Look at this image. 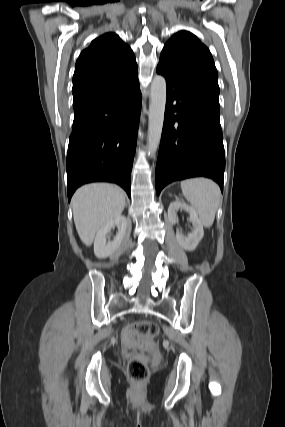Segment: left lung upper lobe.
<instances>
[{
	"label": "left lung upper lobe",
	"mask_w": 285,
	"mask_h": 427,
	"mask_svg": "<svg viewBox=\"0 0 285 427\" xmlns=\"http://www.w3.org/2000/svg\"><path fill=\"white\" fill-rule=\"evenodd\" d=\"M159 64L219 96L218 73L208 48L190 32L179 31L165 44Z\"/></svg>",
	"instance_id": "obj_1"
}]
</instances>
